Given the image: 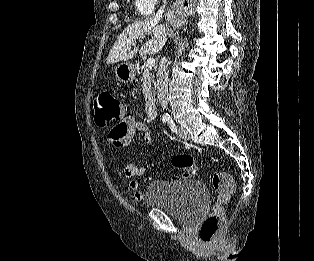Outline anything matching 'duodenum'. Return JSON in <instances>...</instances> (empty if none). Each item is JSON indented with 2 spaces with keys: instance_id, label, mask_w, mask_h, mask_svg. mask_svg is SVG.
Returning a JSON list of instances; mask_svg holds the SVG:
<instances>
[{
  "instance_id": "duodenum-1",
  "label": "duodenum",
  "mask_w": 314,
  "mask_h": 261,
  "mask_svg": "<svg viewBox=\"0 0 314 261\" xmlns=\"http://www.w3.org/2000/svg\"><path fill=\"white\" fill-rule=\"evenodd\" d=\"M145 114L148 118L154 119L156 117V105L150 101L145 106Z\"/></svg>"
}]
</instances>
